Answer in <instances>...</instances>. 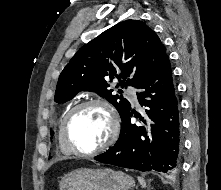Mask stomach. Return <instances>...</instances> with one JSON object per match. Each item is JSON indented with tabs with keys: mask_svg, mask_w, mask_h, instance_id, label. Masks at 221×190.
Returning a JSON list of instances; mask_svg holds the SVG:
<instances>
[{
	"mask_svg": "<svg viewBox=\"0 0 221 190\" xmlns=\"http://www.w3.org/2000/svg\"><path fill=\"white\" fill-rule=\"evenodd\" d=\"M134 179L112 169L80 168L64 175L59 190H129Z\"/></svg>",
	"mask_w": 221,
	"mask_h": 190,
	"instance_id": "stomach-1",
	"label": "stomach"
}]
</instances>
